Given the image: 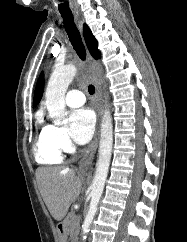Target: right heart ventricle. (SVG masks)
I'll use <instances>...</instances> for the list:
<instances>
[{"label": "right heart ventricle", "mask_w": 187, "mask_h": 242, "mask_svg": "<svg viewBox=\"0 0 187 242\" xmlns=\"http://www.w3.org/2000/svg\"><path fill=\"white\" fill-rule=\"evenodd\" d=\"M37 135L34 145L36 161L40 164L52 165L62 161L61 150L53 143L51 138L52 125L47 124L42 114L36 119Z\"/></svg>", "instance_id": "right-heart-ventricle-1"}]
</instances>
